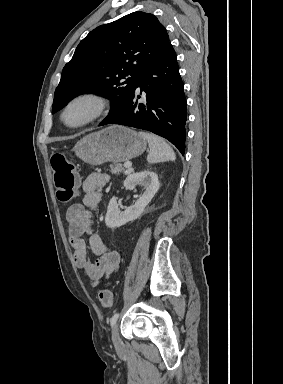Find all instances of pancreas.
I'll return each instance as SVG.
<instances>
[{
	"mask_svg": "<svg viewBox=\"0 0 283 384\" xmlns=\"http://www.w3.org/2000/svg\"><path fill=\"white\" fill-rule=\"evenodd\" d=\"M110 168H111L112 174H121V172H124L125 170L122 164H111Z\"/></svg>",
	"mask_w": 283,
	"mask_h": 384,
	"instance_id": "pancreas-1",
	"label": "pancreas"
}]
</instances>
